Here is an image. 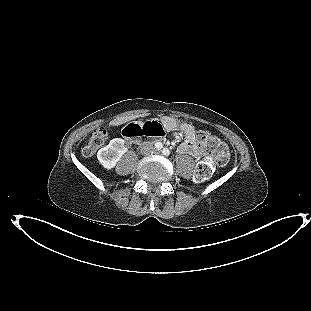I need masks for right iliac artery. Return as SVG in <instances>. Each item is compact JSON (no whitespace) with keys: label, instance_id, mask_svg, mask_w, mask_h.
Masks as SVG:
<instances>
[{"label":"right iliac artery","instance_id":"obj_1","mask_svg":"<svg viewBox=\"0 0 311 311\" xmlns=\"http://www.w3.org/2000/svg\"><path fill=\"white\" fill-rule=\"evenodd\" d=\"M162 147H163V145H162L161 142H157V143L155 144V148H156L157 150H161Z\"/></svg>","mask_w":311,"mask_h":311}]
</instances>
